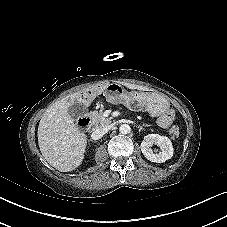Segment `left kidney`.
<instances>
[{"mask_svg":"<svg viewBox=\"0 0 227 227\" xmlns=\"http://www.w3.org/2000/svg\"><path fill=\"white\" fill-rule=\"evenodd\" d=\"M157 145L160 151H153L152 146ZM143 155L151 162L162 163L173 156V146L171 140L166 136L159 134H148L141 143Z\"/></svg>","mask_w":227,"mask_h":227,"instance_id":"5707ae66","label":"left kidney"}]
</instances>
